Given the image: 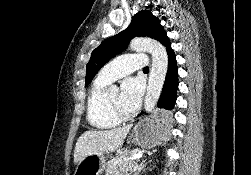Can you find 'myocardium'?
I'll use <instances>...</instances> for the list:
<instances>
[{
    "label": "myocardium",
    "mask_w": 251,
    "mask_h": 175,
    "mask_svg": "<svg viewBox=\"0 0 251 175\" xmlns=\"http://www.w3.org/2000/svg\"><path fill=\"white\" fill-rule=\"evenodd\" d=\"M106 107L109 111L110 114H112L113 116H115L116 118H122L124 116V113L122 111H116L112 108L108 98L106 97Z\"/></svg>",
    "instance_id": "myocardium-1"
}]
</instances>
